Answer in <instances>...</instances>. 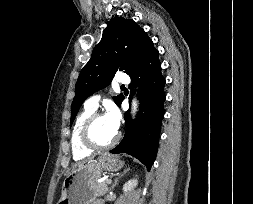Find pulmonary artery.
Masks as SVG:
<instances>
[{"label":"pulmonary artery","mask_w":253,"mask_h":204,"mask_svg":"<svg viewBox=\"0 0 253 204\" xmlns=\"http://www.w3.org/2000/svg\"><path fill=\"white\" fill-rule=\"evenodd\" d=\"M116 82L118 85L121 86L128 85L130 83V78L127 74L120 73L117 76ZM100 99V94H94L85 101V106L95 110L98 107Z\"/></svg>","instance_id":"pulmonary-artery-1"}]
</instances>
